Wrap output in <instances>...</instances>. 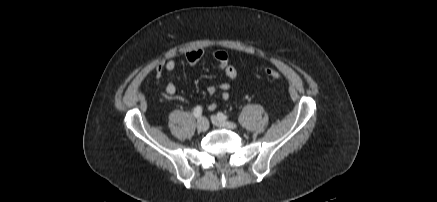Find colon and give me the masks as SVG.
I'll return each instance as SVG.
<instances>
[{
  "mask_svg": "<svg viewBox=\"0 0 437 202\" xmlns=\"http://www.w3.org/2000/svg\"><path fill=\"white\" fill-rule=\"evenodd\" d=\"M265 74L272 79H279L281 77V74L273 68H266Z\"/></svg>",
  "mask_w": 437,
  "mask_h": 202,
  "instance_id": "obj_1",
  "label": "colon"
}]
</instances>
